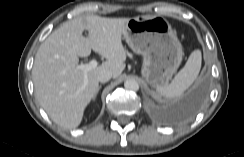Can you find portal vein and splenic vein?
Masks as SVG:
<instances>
[{"label": "portal vein and splenic vein", "mask_w": 244, "mask_h": 157, "mask_svg": "<svg viewBox=\"0 0 244 157\" xmlns=\"http://www.w3.org/2000/svg\"><path fill=\"white\" fill-rule=\"evenodd\" d=\"M97 65H98L97 60L93 59V60H91L88 64H80V65H78L77 68H78L79 70L84 71V72H88V71H90L91 69L96 68Z\"/></svg>", "instance_id": "1"}]
</instances>
